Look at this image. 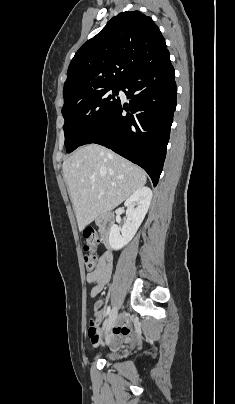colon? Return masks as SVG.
Here are the masks:
<instances>
[{
    "mask_svg": "<svg viewBox=\"0 0 235 404\" xmlns=\"http://www.w3.org/2000/svg\"><path fill=\"white\" fill-rule=\"evenodd\" d=\"M86 245L84 246V262L87 270H93L96 267L97 256L94 251L95 246L100 242V237L95 229L88 228L84 231ZM96 315L90 320V328H96Z\"/></svg>",
    "mask_w": 235,
    "mask_h": 404,
    "instance_id": "5ec220e1",
    "label": "colon"
}]
</instances>
